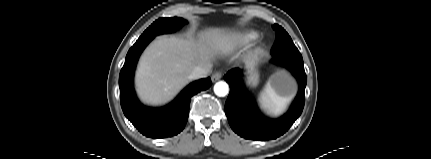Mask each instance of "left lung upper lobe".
Here are the masks:
<instances>
[{
  "instance_id": "obj_1",
  "label": "left lung upper lobe",
  "mask_w": 431,
  "mask_h": 159,
  "mask_svg": "<svg viewBox=\"0 0 431 159\" xmlns=\"http://www.w3.org/2000/svg\"><path fill=\"white\" fill-rule=\"evenodd\" d=\"M276 32V41L271 50L272 56L288 55L301 57L300 52L294 45L289 34L279 25L275 24L273 26Z\"/></svg>"
}]
</instances>
